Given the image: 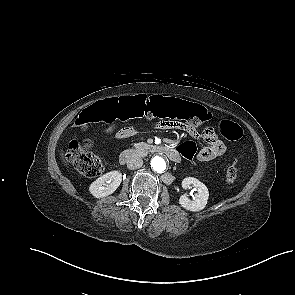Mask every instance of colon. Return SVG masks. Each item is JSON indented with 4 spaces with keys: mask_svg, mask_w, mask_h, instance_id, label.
I'll return each mask as SVG.
<instances>
[{
    "mask_svg": "<svg viewBox=\"0 0 295 295\" xmlns=\"http://www.w3.org/2000/svg\"><path fill=\"white\" fill-rule=\"evenodd\" d=\"M154 117L183 121L189 126H200L210 120V113L201 105L161 97H135L120 101L102 102L92 105L81 112L76 120V126L86 130L88 125L96 122L113 124L136 117ZM218 133L225 139L234 141L242 136L241 127L230 120H222L217 126ZM89 140L70 141L66 156L75 169L86 177H97L103 172L101 159L90 150ZM181 155L185 159H192L196 155L192 142H186L180 147ZM236 161L226 169L225 180L233 182L238 176Z\"/></svg>",
    "mask_w": 295,
    "mask_h": 295,
    "instance_id": "5ec220e1",
    "label": "colon"
}]
</instances>
